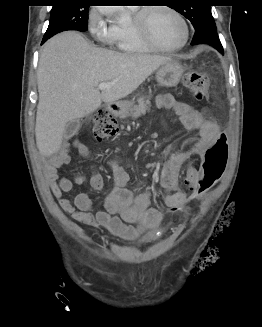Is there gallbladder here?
I'll list each match as a JSON object with an SVG mask.
<instances>
[{
    "instance_id": "obj_1",
    "label": "gallbladder",
    "mask_w": 262,
    "mask_h": 327,
    "mask_svg": "<svg viewBox=\"0 0 262 327\" xmlns=\"http://www.w3.org/2000/svg\"><path fill=\"white\" fill-rule=\"evenodd\" d=\"M79 129H80V121L78 119L68 122L66 124L65 131H64L65 137L66 138L72 137L78 132Z\"/></svg>"
}]
</instances>
